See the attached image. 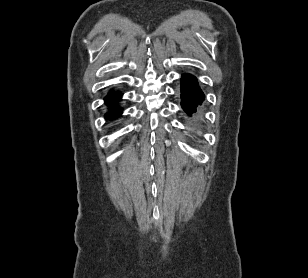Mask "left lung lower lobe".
I'll return each mask as SVG.
<instances>
[{
    "label": "left lung lower lobe",
    "instance_id": "1",
    "mask_svg": "<svg viewBox=\"0 0 308 278\" xmlns=\"http://www.w3.org/2000/svg\"><path fill=\"white\" fill-rule=\"evenodd\" d=\"M181 81L182 108L189 116H195L197 106L204 99V93L198 86L197 79L194 76L184 74Z\"/></svg>",
    "mask_w": 308,
    "mask_h": 278
}]
</instances>
